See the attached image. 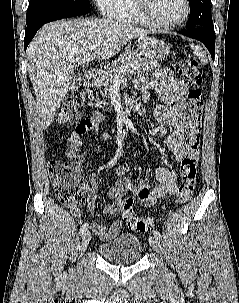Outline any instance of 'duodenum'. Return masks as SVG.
I'll list each match as a JSON object with an SVG mask.
<instances>
[{
	"label": "duodenum",
	"mask_w": 239,
	"mask_h": 303,
	"mask_svg": "<svg viewBox=\"0 0 239 303\" xmlns=\"http://www.w3.org/2000/svg\"><path fill=\"white\" fill-rule=\"evenodd\" d=\"M98 79V73L95 70H88L85 73V86L88 88H93L96 86V82Z\"/></svg>",
	"instance_id": "410a0bca"
}]
</instances>
